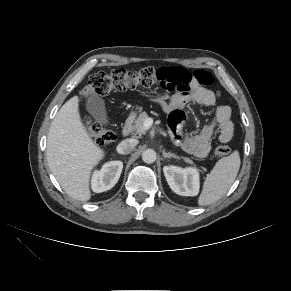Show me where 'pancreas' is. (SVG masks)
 I'll list each match as a JSON object with an SVG mask.
<instances>
[{
  "mask_svg": "<svg viewBox=\"0 0 291 291\" xmlns=\"http://www.w3.org/2000/svg\"><path fill=\"white\" fill-rule=\"evenodd\" d=\"M148 119V114L146 112H142L138 118L134 121L132 125V130L135 131L138 134H143L146 132V129L144 128V122L145 120ZM184 161L186 163L192 164L193 162L189 159L184 157Z\"/></svg>",
  "mask_w": 291,
  "mask_h": 291,
  "instance_id": "pancreas-1",
  "label": "pancreas"
}]
</instances>
